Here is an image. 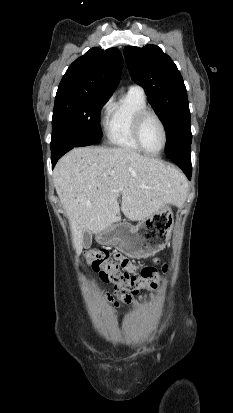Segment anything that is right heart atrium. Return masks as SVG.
<instances>
[{
  "label": "right heart atrium",
  "instance_id": "d8ad5b80",
  "mask_svg": "<svg viewBox=\"0 0 233 413\" xmlns=\"http://www.w3.org/2000/svg\"><path fill=\"white\" fill-rule=\"evenodd\" d=\"M109 100H107L103 105H102V111H105L107 108H108V106H109Z\"/></svg>",
  "mask_w": 233,
  "mask_h": 413
}]
</instances>
